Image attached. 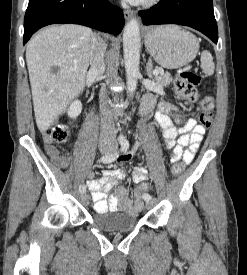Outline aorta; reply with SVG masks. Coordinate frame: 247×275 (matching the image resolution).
Listing matches in <instances>:
<instances>
[{"label": "aorta", "mask_w": 247, "mask_h": 275, "mask_svg": "<svg viewBox=\"0 0 247 275\" xmlns=\"http://www.w3.org/2000/svg\"><path fill=\"white\" fill-rule=\"evenodd\" d=\"M124 64L127 78V93L133 94L137 86L140 62V31L136 19L130 20L123 33ZM123 139V136H120Z\"/></svg>", "instance_id": "762f6f07"}]
</instances>
